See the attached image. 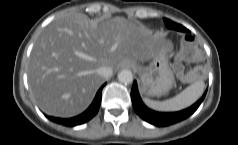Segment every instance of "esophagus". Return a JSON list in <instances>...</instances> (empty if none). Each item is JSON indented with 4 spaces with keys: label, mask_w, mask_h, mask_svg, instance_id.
Here are the masks:
<instances>
[{
    "label": "esophagus",
    "mask_w": 238,
    "mask_h": 145,
    "mask_svg": "<svg viewBox=\"0 0 238 145\" xmlns=\"http://www.w3.org/2000/svg\"><path fill=\"white\" fill-rule=\"evenodd\" d=\"M121 65L124 68H131L132 67V63L130 61H125Z\"/></svg>",
    "instance_id": "obj_1"
}]
</instances>
